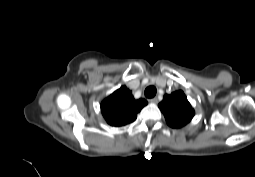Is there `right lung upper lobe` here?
Segmentation results:
<instances>
[{
	"instance_id": "right-lung-upper-lobe-1",
	"label": "right lung upper lobe",
	"mask_w": 255,
	"mask_h": 177,
	"mask_svg": "<svg viewBox=\"0 0 255 177\" xmlns=\"http://www.w3.org/2000/svg\"><path fill=\"white\" fill-rule=\"evenodd\" d=\"M147 103L145 99H134L132 92L122 86L102 101L101 111L108 124L119 127L133 122Z\"/></svg>"
}]
</instances>
